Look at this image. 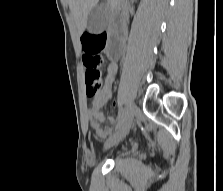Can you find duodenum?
Instances as JSON below:
<instances>
[{
    "mask_svg": "<svg viewBox=\"0 0 223 191\" xmlns=\"http://www.w3.org/2000/svg\"><path fill=\"white\" fill-rule=\"evenodd\" d=\"M117 39L119 42L116 45H112L109 50V55L111 59H116L121 55L122 52V46H121V40L124 36V29L120 28L116 30Z\"/></svg>",
    "mask_w": 223,
    "mask_h": 191,
    "instance_id": "duodenum-1",
    "label": "duodenum"
}]
</instances>
